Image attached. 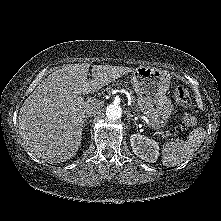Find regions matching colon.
Masks as SVG:
<instances>
[{
    "instance_id": "colon-1",
    "label": "colon",
    "mask_w": 221,
    "mask_h": 221,
    "mask_svg": "<svg viewBox=\"0 0 221 221\" xmlns=\"http://www.w3.org/2000/svg\"><path fill=\"white\" fill-rule=\"evenodd\" d=\"M176 101L183 106L190 103V93L185 86H178L174 92ZM182 123L184 126L191 128L196 125V119L189 113H185L182 117Z\"/></svg>"
}]
</instances>
